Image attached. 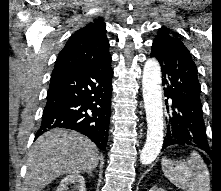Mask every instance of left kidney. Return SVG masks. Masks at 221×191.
Wrapping results in <instances>:
<instances>
[{"mask_svg": "<svg viewBox=\"0 0 221 191\" xmlns=\"http://www.w3.org/2000/svg\"><path fill=\"white\" fill-rule=\"evenodd\" d=\"M149 191H165L162 188H158L157 186H153Z\"/></svg>", "mask_w": 221, "mask_h": 191, "instance_id": "left-kidney-1", "label": "left kidney"}]
</instances>
